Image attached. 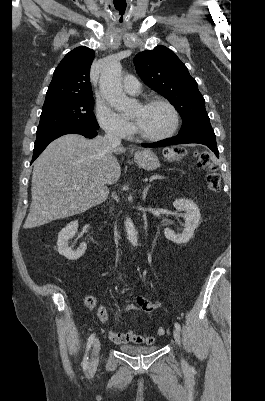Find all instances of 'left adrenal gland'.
Masks as SVG:
<instances>
[{"label":"left adrenal gland","mask_w":265,"mask_h":401,"mask_svg":"<svg viewBox=\"0 0 265 401\" xmlns=\"http://www.w3.org/2000/svg\"><path fill=\"white\" fill-rule=\"evenodd\" d=\"M150 188V184H148V186H145V188H143L142 190V201H146V196H147V192Z\"/></svg>","instance_id":"1"}]
</instances>
